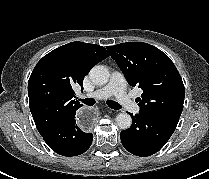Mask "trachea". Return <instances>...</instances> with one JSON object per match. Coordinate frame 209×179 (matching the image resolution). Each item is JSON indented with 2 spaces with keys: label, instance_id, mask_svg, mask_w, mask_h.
Listing matches in <instances>:
<instances>
[{
  "label": "trachea",
  "instance_id": "3493384b",
  "mask_svg": "<svg viewBox=\"0 0 209 179\" xmlns=\"http://www.w3.org/2000/svg\"><path fill=\"white\" fill-rule=\"evenodd\" d=\"M80 101H82L85 105L88 106H92L95 104V100L92 98L80 99ZM107 105L112 109H116V110L121 109V105H119L117 102L114 101H108Z\"/></svg>",
  "mask_w": 209,
  "mask_h": 179
}]
</instances>
